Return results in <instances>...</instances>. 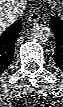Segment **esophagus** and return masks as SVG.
I'll return each mask as SVG.
<instances>
[{
  "mask_svg": "<svg viewBox=\"0 0 63 107\" xmlns=\"http://www.w3.org/2000/svg\"><path fill=\"white\" fill-rule=\"evenodd\" d=\"M28 20L34 23L38 22L40 20V13L36 9L30 11Z\"/></svg>",
  "mask_w": 63,
  "mask_h": 107,
  "instance_id": "esophagus-1",
  "label": "esophagus"
}]
</instances>
